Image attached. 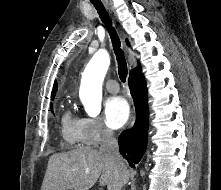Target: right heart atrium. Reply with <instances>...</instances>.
I'll list each match as a JSON object with an SVG mask.
<instances>
[{
	"label": "right heart atrium",
	"mask_w": 221,
	"mask_h": 190,
	"mask_svg": "<svg viewBox=\"0 0 221 190\" xmlns=\"http://www.w3.org/2000/svg\"><path fill=\"white\" fill-rule=\"evenodd\" d=\"M80 126L82 143L88 147H96L112 137V132L98 117H83Z\"/></svg>",
	"instance_id": "1"
}]
</instances>
